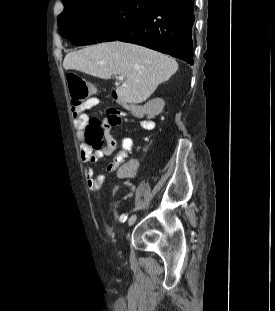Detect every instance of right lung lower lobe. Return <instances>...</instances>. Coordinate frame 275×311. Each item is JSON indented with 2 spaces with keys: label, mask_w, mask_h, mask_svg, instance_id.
<instances>
[{
  "label": "right lung lower lobe",
  "mask_w": 275,
  "mask_h": 311,
  "mask_svg": "<svg viewBox=\"0 0 275 311\" xmlns=\"http://www.w3.org/2000/svg\"><path fill=\"white\" fill-rule=\"evenodd\" d=\"M193 11V0H160L115 40L142 45L193 65Z\"/></svg>",
  "instance_id": "98d812e1"
}]
</instances>
